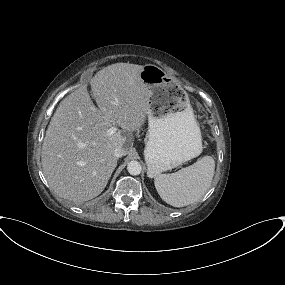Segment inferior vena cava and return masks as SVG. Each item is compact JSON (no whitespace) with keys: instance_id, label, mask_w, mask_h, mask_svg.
Here are the masks:
<instances>
[{"instance_id":"1","label":"inferior vena cava","mask_w":285,"mask_h":285,"mask_svg":"<svg viewBox=\"0 0 285 285\" xmlns=\"http://www.w3.org/2000/svg\"><path fill=\"white\" fill-rule=\"evenodd\" d=\"M126 153L124 151V149L122 147H117L115 150H114V156L116 158H120L122 156H124Z\"/></svg>"}]
</instances>
